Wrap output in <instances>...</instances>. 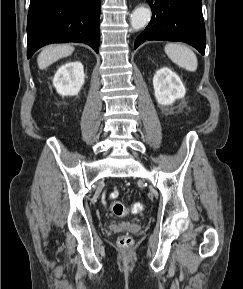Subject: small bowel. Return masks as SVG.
<instances>
[{
	"instance_id": "1",
	"label": "small bowel",
	"mask_w": 243,
	"mask_h": 289,
	"mask_svg": "<svg viewBox=\"0 0 243 289\" xmlns=\"http://www.w3.org/2000/svg\"><path fill=\"white\" fill-rule=\"evenodd\" d=\"M117 195H118V192H117V191H114V192L110 195V198H111V199H114V198L117 197Z\"/></svg>"
}]
</instances>
